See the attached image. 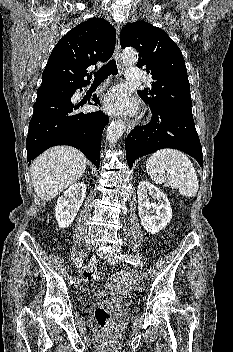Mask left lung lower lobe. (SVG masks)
Listing matches in <instances>:
<instances>
[{"instance_id": "left-lung-lower-lobe-1", "label": "left lung lower lobe", "mask_w": 233, "mask_h": 352, "mask_svg": "<svg viewBox=\"0 0 233 352\" xmlns=\"http://www.w3.org/2000/svg\"><path fill=\"white\" fill-rule=\"evenodd\" d=\"M149 124L136 126L125 140L126 159L131 168L135 160L159 149H178L195 158L203 167L202 146L193 117L153 107Z\"/></svg>"}]
</instances>
